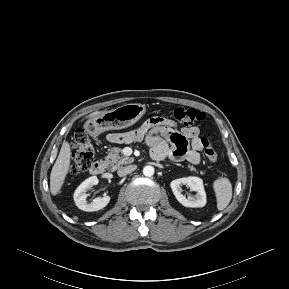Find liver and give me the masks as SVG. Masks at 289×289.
Masks as SVG:
<instances>
[{"label":"liver","instance_id":"liver-1","mask_svg":"<svg viewBox=\"0 0 289 289\" xmlns=\"http://www.w3.org/2000/svg\"><path fill=\"white\" fill-rule=\"evenodd\" d=\"M101 113H103V111H94L93 113L86 116V118H92ZM70 162L71 148L69 143L65 140L62 144L57 160L52 167L50 174V191L53 196H56L58 193H60L66 175L68 174L70 169Z\"/></svg>","mask_w":289,"mask_h":289}]
</instances>
